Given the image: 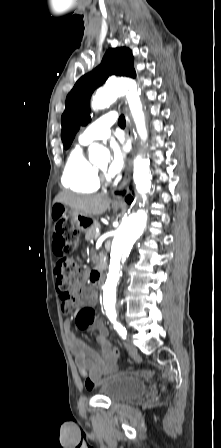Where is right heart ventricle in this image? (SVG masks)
<instances>
[{"label":"right heart ventricle","mask_w":221,"mask_h":448,"mask_svg":"<svg viewBox=\"0 0 221 448\" xmlns=\"http://www.w3.org/2000/svg\"><path fill=\"white\" fill-rule=\"evenodd\" d=\"M82 145L71 151L63 171L62 184L74 192L93 193L100 187L98 171L86 158Z\"/></svg>","instance_id":"obj_1"}]
</instances>
